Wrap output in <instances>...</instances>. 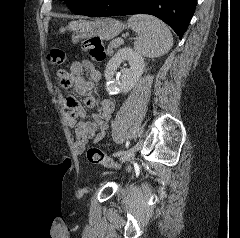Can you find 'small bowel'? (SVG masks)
<instances>
[{"instance_id": "c3829d8e", "label": "small bowel", "mask_w": 240, "mask_h": 238, "mask_svg": "<svg viewBox=\"0 0 240 238\" xmlns=\"http://www.w3.org/2000/svg\"><path fill=\"white\" fill-rule=\"evenodd\" d=\"M84 71L88 73L87 79L82 76ZM100 80L101 73L90 61L84 60L74 62L69 71L59 70L55 75L54 89L61 94L65 88H73L84 97V104L87 108H94L97 102L90 92L94 84ZM59 102L66 112L67 123L73 131L74 149L77 153L84 151L89 140L99 142L104 139L115 111L113 101L103 99L97 110L92 114V121H86L87 112L74 95L61 94Z\"/></svg>"}]
</instances>
